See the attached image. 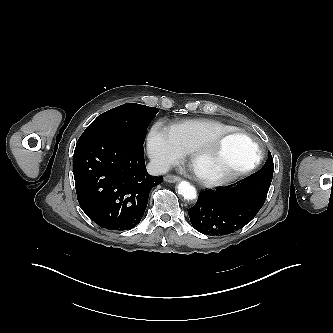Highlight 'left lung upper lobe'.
<instances>
[{
  "label": "left lung upper lobe",
  "mask_w": 333,
  "mask_h": 333,
  "mask_svg": "<svg viewBox=\"0 0 333 333\" xmlns=\"http://www.w3.org/2000/svg\"><path fill=\"white\" fill-rule=\"evenodd\" d=\"M260 170H263V171H266V170L273 171L274 170L273 158H272L270 152H268V159H267L265 165Z\"/></svg>",
  "instance_id": "left-lung-upper-lobe-1"
}]
</instances>
